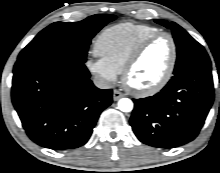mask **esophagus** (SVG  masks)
<instances>
[{
    "label": "esophagus",
    "mask_w": 220,
    "mask_h": 173,
    "mask_svg": "<svg viewBox=\"0 0 220 173\" xmlns=\"http://www.w3.org/2000/svg\"><path fill=\"white\" fill-rule=\"evenodd\" d=\"M124 96V94L122 92H120L119 90L115 89L113 91V100L114 101H117L119 100L120 98H122Z\"/></svg>",
    "instance_id": "obj_1"
}]
</instances>
